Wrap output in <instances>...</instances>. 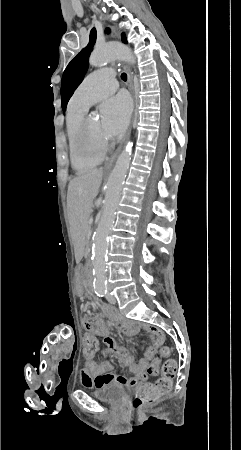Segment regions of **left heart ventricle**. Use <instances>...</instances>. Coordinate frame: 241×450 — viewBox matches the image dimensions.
<instances>
[{
	"instance_id": "1",
	"label": "left heart ventricle",
	"mask_w": 241,
	"mask_h": 450,
	"mask_svg": "<svg viewBox=\"0 0 241 450\" xmlns=\"http://www.w3.org/2000/svg\"><path fill=\"white\" fill-rule=\"evenodd\" d=\"M103 137H108L106 126L100 124L99 121H92L90 123L89 133L86 135V138L89 140V142L82 145V150L84 152H89L91 148L96 145L97 148H100L101 153L106 152L107 149L103 147V143L101 142V139ZM98 138L100 140L97 142ZM93 141H95V143Z\"/></svg>"
}]
</instances>
